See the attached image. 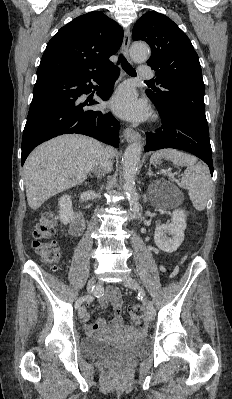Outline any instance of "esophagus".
<instances>
[{"label":"esophagus","mask_w":232,"mask_h":399,"mask_svg":"<svg viewBox=\"0 0 232 399\" xmlns=\"http://www.w3.org/2000/svg\"><path fill=\"white\" fill-rule=\"evenodd\" d=\"M130 41H131V33L130 29L127 27L124 31V38L122 43V52L126 57V59H129ZM123 136L127 142H135L141 140V135L137 131L131 128H125L123 131Z\"/></svg>","instance_id":"esophagus-1"}]
</instances>
